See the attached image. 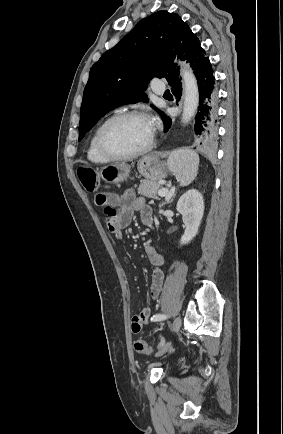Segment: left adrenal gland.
<instances>
[{
    "instance_id": "1",
    "label": "left adrenal gland",
    "mask_w": 283,
    "mask_h": 434,
    "mask_svg": "<svg viewBox=\"0 0 283 434\" xmlns=\"http://www.w3.org/2000/svg\"><path fill=\"white\" fill-rule=\"evenodd\" d=\"M175 195H176V192H173V194L171 195L170 199L167 200L166 202L162 203V204L160 205V207L164 206L165 204H169V203H171V202L173 201Z\"/></svg>"
}]
</instances>
